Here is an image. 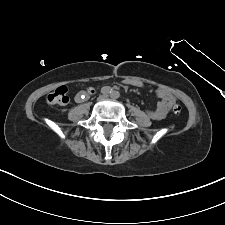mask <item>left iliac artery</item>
Returning a JSON list of instances; mask_svg holds the SVG:
<instances>
[{
    "instance_id": "obj_1",
    "label": "left iliac artery",
    "mask_w": 225,
    "mask_h": 225,
    "mask_svg": "<svg viewBox=\"0 0 225 225\" xmlns=\"http://www.w3.org/2000/svg\"><path fill=\"white\" fill-rule=\"evenodd\" d=\"M111 97L112 98H118L119 97V93L117 91H112Z\"/></svg>"
}]
</instances>
